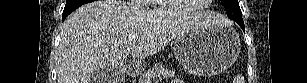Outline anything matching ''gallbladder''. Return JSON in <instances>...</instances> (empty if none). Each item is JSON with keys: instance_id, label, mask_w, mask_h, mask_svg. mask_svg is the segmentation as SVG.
I'll list each match as a JSON object with an SVG mask.
<instances>
[{"instance_id": "1", "label": "gallbladder", "mask_w": 307, "mask_h": 83, "mask_svg": "<svg viewBox=\"0 0 307 83\" xmlns=\"http://www.w3.org/2000/svg\"><path fill=\"white\" fill-rule=\"evenodd\" d=\"M123 72L119 68L98 67L91 75L93 83H120Z\"/></svg>"}]
</instances>
